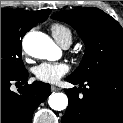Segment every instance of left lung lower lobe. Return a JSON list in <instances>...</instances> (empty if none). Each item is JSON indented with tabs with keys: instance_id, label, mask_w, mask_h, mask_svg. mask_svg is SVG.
Listing matches in <instances>:
<instances>
[{
	"instance_id": "left-lung-lower-lobe-1",
	"label": "left lung lower lobe",
	"mask_w": 123,
	"mask_h": 123,
	"mask_svg": "<svg viewBox=\"0 0 123 123\" xmlns=\"http://www.w3.org/2000/svg\"><path fill=\"white\" fill-rule=\"evenodd\" d=\"M66 80L80 87L64 90L69 104L61 123H123L122 71L83 80L68 76Z\"/></svg>"
}]
</instances>
